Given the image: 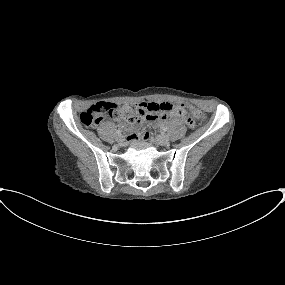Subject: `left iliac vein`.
<instances>
[{"label":"left iliac vein","mask_w":285,"mask_h":285,"mask_svg":"<svg viewBox=\"0 0 285 285\" xmlns=\"http://www.w3.org/2000/svg\"><path fill=\"white\" fill-rule=\"evenodd\" d=\"M155 140H156V143H157L158 145L164 146V145H167V144H168V142H169V137H168V135H166V134H162V135H158V136L155 138Z\"/></svg>","instance_id":"4c4485c4"}]
</instances>
